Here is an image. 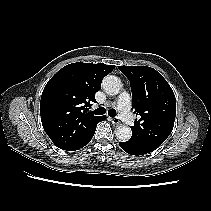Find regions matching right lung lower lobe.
I'll return each mask as SVG.
<instances>
[{"label":"right lung lower lobe","instance_id":"1","mask_svg":"<svg viewBox=\"0 0 211 211\" xmlns=\"http://www.w3.org/2000/svg\"><path fill=\"white\" fill-rule=\"evenodd\" d=\"M105 119H106V117H105V116H102V117L99 119V121L92 127V129L83 137V139H82L74 148L69 149V150H67V151L79 150L80 148H82V147H84L85 145H87V144L91 141V139H92V137H93V135H94V133H95L97 124H98L100 121H103V120H105Z\"/></svg>","mask_w":211,"mask_h":211}]
</instances>
